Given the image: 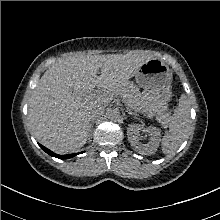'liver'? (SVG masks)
Returning <instances> with one entry per match:
<instances>
[{
    "label": "liver",
    "mask_w": 220,
    "mask_h": 220,
    "mask_svg": "<svg viewBox=\"0 0 220 220\" xmlns=\"http://www.w3.org/2000/svg\"><path fill=\"white\" fill-rule=\"evenodd\" d=\"M149 59L136 54H80L60 59L45 71L32 92L28 117L34 136L58 153L83 147L91 110L119 95ZM95 87L98 94L88 97Z\"/></svg>",
    "instance_id": "obj_1"
}]
</instances>
